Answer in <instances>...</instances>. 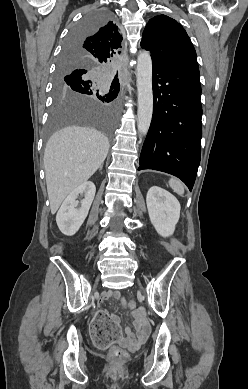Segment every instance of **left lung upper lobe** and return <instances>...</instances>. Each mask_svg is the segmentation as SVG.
<instances>
[{
  "instance_id": "obj_1",
  "label": "left lung upper lobe",
  "mask_w": 248,
  "mask_h": 389,
  "mask_svg": "<svg viewBox=\"0 0 248 389\" xmlns=\"http://www.w3.org/2000/svg\"><path fill=\"white\" fill-rule=\"evenodd\" d=\"M141 47L150 51L152 59L160 63L197 61L196 51L186 31L176 20L163 14L147 23Z\"/></svg>"
}]
</instances>
